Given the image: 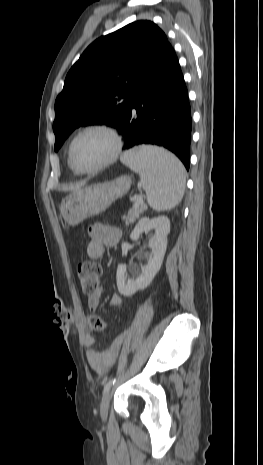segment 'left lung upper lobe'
<instances>
[{"instance_id": "5c2ea615", "label": "left lung upper lobe", "mask_w": 263, "mask_h": 465, "mask_svg": "<svg viewBox=\"0 0 263 465\" xmlns=\"http://www.w3.org/2000/svg\"><path fill=\"white\" fill-rule=\"evenodd\" d=\"M168 43L158 26L141 20L88 46L55 101V151L79 126L106 124L119 129L134 85Z\"/></svg>"}]
</instances>
